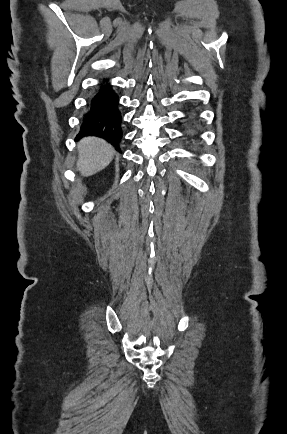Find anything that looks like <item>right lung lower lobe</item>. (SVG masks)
<instances>
[{"label": "right lung lower lobe", "instance_id": "obj_1", "mask_svg": "<svg viewBox=\"0 0 287 434\" xmlns=\"http://www.w3.org/2000/svg\"><path fill=\"white\" fill-rule=\"evenodd\" d=\"M106 81V79H104ZM83 117L79 136L94 135L111 143L119 150L122 138L119 97L110 84H100L89 102Z\"/></svg>", "mask_w": 287, "mask_h": 434}]
</instances>
